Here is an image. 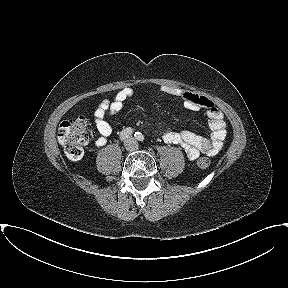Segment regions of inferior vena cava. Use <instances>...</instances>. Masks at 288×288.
<instances>
[{
	"label": "inferior vena cava",
	"mask_w": 288,
	"mask_h": 288,
	"mask_svg": "<svg viewBox=\"0 0 288 288\" xmlns=\"http://www.w3.org/2000/svg\"><path fill=\"white\" fill-rule=\"evenodd\" d=\"M135 148H137V144H135V145H133V146L131 147L132 150L135 149Z\"/></svg>",
	"instance_id": "602c4592"
}]
</instances>
